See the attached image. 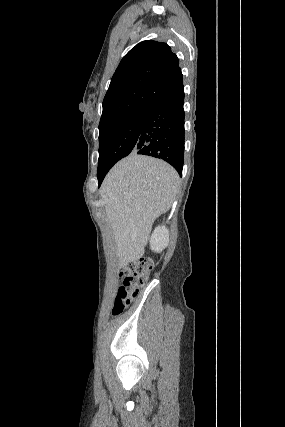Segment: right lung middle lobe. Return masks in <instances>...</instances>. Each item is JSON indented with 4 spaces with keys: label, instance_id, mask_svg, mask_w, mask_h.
<instances>
[{
    "label": "right lung middle lobe",
    "instance_id": "obj_1",
    "mask_svg": "<svg viewBox=\"0 0 285 427\" xmlns=\"http://www.w3.org/2000/svg\"><path fill=\"white\" fill-rule=\"evenodd\" d=\"M146 109L133 111L99 125L98 172H108L120 159L134 151Z\"/></svg>",
    "mask_w": 285,
    "mask_h": 427
}]
</instances>
